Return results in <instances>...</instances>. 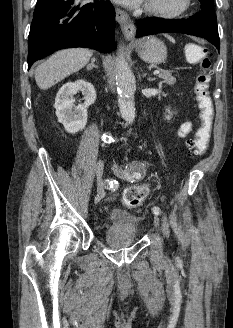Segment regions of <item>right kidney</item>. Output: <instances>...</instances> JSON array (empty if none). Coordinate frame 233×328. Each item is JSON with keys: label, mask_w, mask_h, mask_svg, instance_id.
<instances>
[{"label": "right kidney", "mask_w": 233, "mask_h": 328, "mask_svg": "<svg viewBox=\"0 0 233 328\" xmlns=\"http://www.w3.org/2000/svg\"><path fill=\"white\" fill-rule=\"evenodd\" d=\"M81 91L84 103L74 106L72 96ZM96 100L94 86L84 80L68 82L58 91L55 98V109L58 121L68 133L74 134L87 124V108Z\"/></svg>", "instance_id": "1"}]
</instances>
